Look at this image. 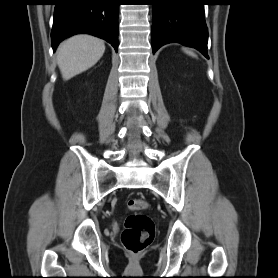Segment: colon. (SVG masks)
I'll list each match as a JSON object with an SVG mask.
<instances>
[{"label":"colon","mask_w":278,"mask_h":278,"mask_svg":"<svg viewBox=\"0 0 278 278\" xmlns=\"http://www.w3.org/2000/svg\"><path fill=\"white\" fill-rule=\"evenodd\" d=\"M147 202L141 198L128 201L130 214L124 223L121 240L126 250L131 254H138L147 248L155 236V226L150 217L138 211L147 208Z\"/></svg>","instance_id":"obj_1"}]
</instances>
